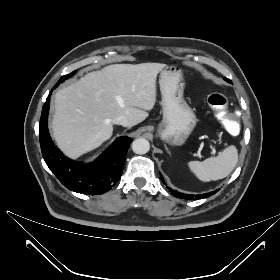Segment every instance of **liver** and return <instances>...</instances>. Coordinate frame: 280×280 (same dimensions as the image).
<instances>
[{
    "instance_id": "6515ba94",
    "label": "liver",
    "mask_w": 280,
    "mask_h": 280,
    "mask_svg": "<svg viewBox=\"0 0 280 280\" xmlns=\"http://www.w3.org/2000/svg\"><path fill=\"white\" fill-rule=\"evenodd\" d=\"M165 67L113 64L57 91L51 127L58 147L76 158L110 139L118 116H125L129 127L144 121L156 102L157 75Z\"/></svg>"
}]
</instances>
